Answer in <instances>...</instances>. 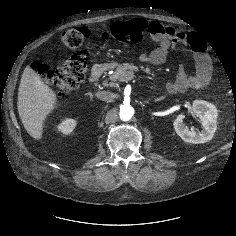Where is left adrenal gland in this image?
Returning <instances> with one entry per match:
<instances>
[{"label": "left adrenal gland", "mask_w": 236, "mask_h": 236, "mask_svg": "<svg viewBox=\"0 0 236 236\" xmlns=\"http://www.w3.org/2000/svg\"><path fill=\"white\" fill-rule=\"evenodd\" d=\"M163 99H165V96H162V97H159V98L155 99V102L161 101V100H163Z\"/></svg>", "instance_id": "obj_1"}]
</instances>
